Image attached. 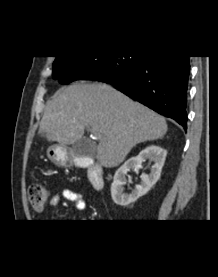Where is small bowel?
I'll list each match as a JSON object with an SVG mask.
<instances>
[{
	"label": "small bowel",
	"instance_id": "obj_1",
	"mask_svg": "<svg viewBox=\"0 0 218 277\" xmlns=\"http://www.w3.org/2000/svg\"><path fill=\"white\" fill-rule=\"evenodd\" d=\"M62 200L73 202L77 210H84L86 208V199L82 193L72 189H63L60 193L55 194L50 201L52 207L58 206Z\"/></svg>",
	"mask_w": 218,
	"mask_h": 277
}]
</instances>
